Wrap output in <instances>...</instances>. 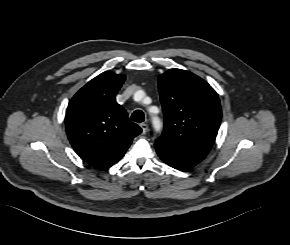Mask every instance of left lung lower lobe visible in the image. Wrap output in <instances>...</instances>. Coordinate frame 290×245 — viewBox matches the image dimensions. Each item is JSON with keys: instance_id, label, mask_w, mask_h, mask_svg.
<instances>
[{"instance_id": "obj_1", "label": "left lung lower lobe", "mask_w": 290, "mask_h": 245, "mask_svg": "<svg viewBox=\"0 0 290 245\" xmlns=\"http://www.w3.org/2000/svg\"><path fill=\"white\" fill-rule=\"evenodd\" d=\"M159 157L171 167L178 170H188L194 167L197 163L185 160L177 155H174L162 147L155 145Z\"/></svg>"}]
</instances>
